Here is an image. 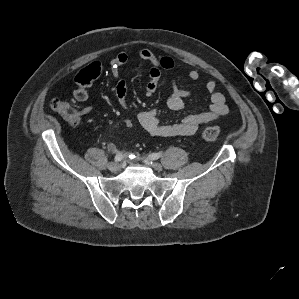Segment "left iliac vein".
<instances>
[{
	"label": "left iliac vein",
	"mask_w": 299,
	"mask_h": 299,
	"mask_svg": "<svg viewBox=\"0 0 299 299\" xmlns=\"http://www.w3.org/2000/svg\"><path fill=\"white\" fill-rule=\"evenodd\" d=\"M144 162H145L146 165L154 168L155 170H158V171L162 170V165L158 162L152 161L150 158H146L144 160Z\"/></svg>",
	"instance_id": "4c4485c4"
}]
</instances>
